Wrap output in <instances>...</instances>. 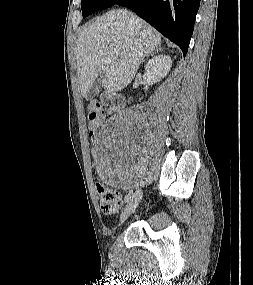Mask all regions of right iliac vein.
Returning a JSON list of instances; mask_svg holds the SVG:
<instances>
[{"label":"right iliac vein","instance_id":"obj_1","mask_svg":"<svg viewBox=\"0 0 253 285\" xmlns=\"http://www.w3.org/2000/svg\"><path fill=\"white\" fill-rule=\"evenodd\" d=\"M141 198H142V192L140 190H137L131 197L128 204L126 205L124 211L122 212L120 218V224H123L124 221L135 211Z\"/></svg>","mask_w":253,"mask_h":285}]
</instances>
